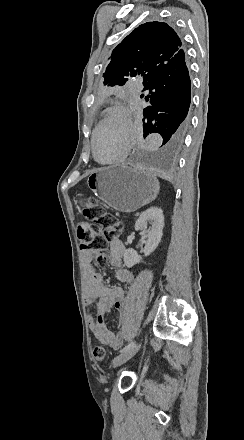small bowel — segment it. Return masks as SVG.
<instances>
[{"instance_id": "1", "label": "small bowel", "mask_w": 244, "mask_h": 440, "mask_svg": "<svg viewBox=\"0 0 244 440\" xmlns=\"http://www.w3.org/2000/svg\"><path fill=\"white\" fill-rule=\"evenodd\" d=\"M125 246L123 242L114 237L109 242L107 261L114 269V278L123 285L129 286L134 280L133 274L123 267ZM86 279V301L88 305H97L98 314L93 317L89 314L88 323L95 338L101 343L119 349L123 344V335L111 331L106 325L105 318L112 308L119 310L122 316L130 311V303L123 286L111 285L104 281L103 277L95 270L97 263L94 253L85 251L82 254Z\"/></svg>"}]
</instances>
